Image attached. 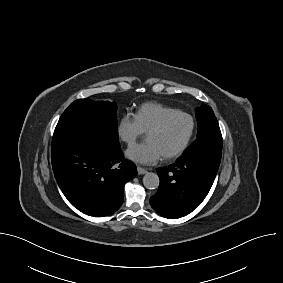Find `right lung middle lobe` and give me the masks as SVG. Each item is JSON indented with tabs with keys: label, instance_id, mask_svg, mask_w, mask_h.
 I'll use <instances>...</instances> for the list:
<instances>
[{
	"label": "right lung middle lobe",
	"instance_id": "dd1d6c3e",
	"mask_svg": "<svg viewBox=\"0 0 283 283\" xmlns=\"http://www.w3.org/2000/svg\"><path fill=\"white\" fill-rule=\"evenodd\" d=\"M63 132H83L110 144L119 143L116 103L88 98L72 102L60 117L54 134Z\"/></svg>",
	"mask_w": 283,
	"mask_h": 283
}]
</instances>
